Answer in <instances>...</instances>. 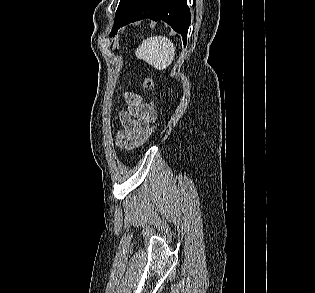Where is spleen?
<instances>
[{
    "mask_svg": "<svg viewBox=\"0 0 315 293\" xmlns=\"http://www.w3.org/2000/svg\"><path fill=\"white\" fill-rule=\"evenodd\" d=\"M135 54L154 68L164 70L174 60L175 46L167 37L155 36L143 41Z\"/></svg>",
    "mask_w": 315,
    "mask_h": 293,
    "instance_id": "1",
    "label": "spleen"
}]
</instances>
